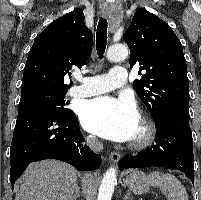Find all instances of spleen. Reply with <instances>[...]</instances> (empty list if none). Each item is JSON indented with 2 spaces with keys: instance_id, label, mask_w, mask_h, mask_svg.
Returning a JSON list of instances; mask_svg holds the SVG:
<instances>
[{
  "instance_id": "1",
  "label": "spleen",
  "mask_w": 201,
  "mask_h": 200,
  "mask_svg": "<svg viewBox=\"0 0 201 200\" xmlns=\"http://www.w3.org/2000/svg\"><path fill=\"white\" fill-rule=\"evenodd\" d=\"M148 180L153 187H159L168 200H188L185 187L174 175L153 171L148 175Z\"/></svg>"
}]
</instances>
